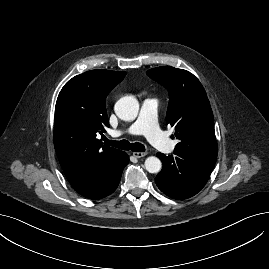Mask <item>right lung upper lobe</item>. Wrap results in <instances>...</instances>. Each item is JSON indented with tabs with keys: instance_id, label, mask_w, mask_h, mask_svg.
<instances>
[{
	"instance_id": "right-lung-upper-lobe-1",
	"label": "right lung upper lobe",
	"mask_w": 269,
	"mask_h": 269,
	"mask_svg": "<svg viewBox=\"0 0 269 269\" xmlns=\"http://www.w3.org/2000/svg\"><path fill=\"white\" fill-rule=\"evenodd\" d=\"M126 72L91 70L70 79L55 107L54 147L70 183L102 172L123 151L103 145L97 138L109 127L105 100Z\"/></svg>"
}]
</instances>
